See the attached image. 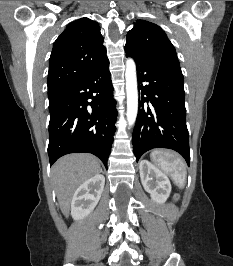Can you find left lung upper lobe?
Here are the masks:
<instances>
[{
    "label": "left lung upper lobe",
    "mask_w": 233,
    "mask_h": 266,
    "mask_svg": "<svg viewBox=\"0 0 233 266\" xmlns=\"http://www.w3.org/2000/svg\"><path fill=\"white\" fill-rule=\"evenodd\" d=\"M125 51L147 59L179 63L174 46L156 24L138 20L126 37Z\"/></svg>",
    "instance_id": "5c2ea615"
}]
</instances>
